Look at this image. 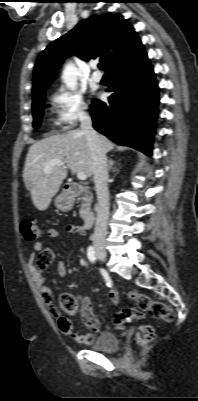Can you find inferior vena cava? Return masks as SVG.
Instances as JSON below:
<instances>
[{"instance_id": "1", "label": "inferior vena cava", "mask_w": 198, "mask_h": 401, "mask_svg": "<svg viewBox=\"0 0 198 401\" xmlns=\"http://www.w3.org/2000/svg\"><path fill=\"white\" fill-rule=\"evenodd\" d=\"M81 130L87 135L92 153L93 180L97 194V217L93 235L95 246L104 245L109 217L108 164L100 136L92 127L87 113L80 117Z\"/></svg>"}]
</instances>
